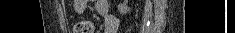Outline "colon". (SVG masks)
I'll return each instance as SVG.
<instances>
[{"label":"colon","instance_id":"colon-1","mask_svg":"<svg viewBox=\"0 0 235 33\" xmlns=\"http://www.w3.org/2000/svg\"><path fill=\"white\" fill-rule=\"evenodd\" d=\"M73 33H93V25L88 20H78L73 24Z\"/></svg>","mask_w":235,"mask_h":33}]
</instances>
